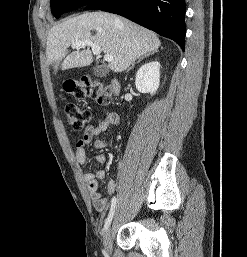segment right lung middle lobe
<instances>
[{"label": "right lung middle lobe", "mask_w": 247, "mask_h": 257, "mask_svg": "<svg viewBox=\"0 0 247 257\" xmlns=\"http://www.w3.org/2000/svg\"><path fill=\"white\" fill-rule=\"evenodd\" d=\"M94 0H51L50 6L53 15L59 18L63 13L86 6Z\"/></svg>", "instance_id": "obj_1"}]
</instances>
